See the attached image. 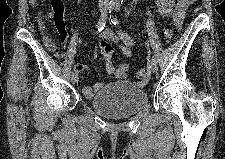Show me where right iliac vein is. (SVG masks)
Masks as SVG:
<instances>
[{
  "label": "right iliac vein",
  "mask_w": 225,
  "mask_h": 159,
  "mask_svg": "<svg viewBox=\"0 0 225 159\" xmlns=\"http://www.w3.org/2000/svg\"><path fill=\"white\" fill-rule=\"evenodd\" d=\"M70 80L72 83H77L78 82V75L73 73L70 75Z\"/></svg>",
  "instance_id": "obj_1"
}]
</instances>
